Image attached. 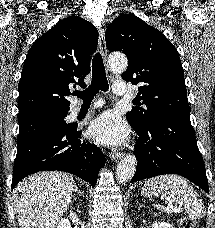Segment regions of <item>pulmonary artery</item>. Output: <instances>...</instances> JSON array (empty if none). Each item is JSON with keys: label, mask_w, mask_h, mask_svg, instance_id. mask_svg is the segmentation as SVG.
<instances>
[{"label": "pulmonary artery", "mask_w": 215, "mask_h": 228, "mask_svg": "<svg viewBox=\"0 0 215 228\" xmlns=\"http://www.w3.org/2000/svg\"><path fill=\"white\" fill-rule=\"evenodd\" d=\"M132 85L131 84H126V82H113V84H111V89H113V92L117 95H122V94H126V95H134L135 94V89H131ZM103 105L102 101H96L94 103H92V105L90 106V109H95V108H99ZM80 109L78 107H74L72 109V115H77L79 113Z\"/></svg>", "instance_id": "obj_1"}]
</instances>
